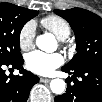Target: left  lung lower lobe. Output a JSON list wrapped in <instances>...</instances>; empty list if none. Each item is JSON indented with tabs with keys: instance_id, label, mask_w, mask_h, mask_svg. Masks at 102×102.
<instances>
[{
	"instance_id": "obj_1",
	"label": "left lung lower lobe",
	"mask_w": 102,
	"mask_h": 102,
	"mask_svg": "<svg viewBox=\"0 0 102 102\" xmlns=\"http://www.w3.org/2000/svg\"><path fill=\"white\" fill-rule=\"evenodd\" d=\"M62 71L73 74L67 79L66 93L55 97V102H101L102 98V65L78 66L73 69L61 68ZM76 77H81L78 81ZM76 79V80H74Z\"/></svg>"
}]
</instances>
